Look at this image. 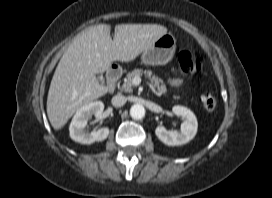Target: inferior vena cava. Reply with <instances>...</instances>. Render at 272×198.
Returning <instances> with one entry per match:
<instances>
[{
	"instance_id": "1",
	"label": "inferior vena cava",
	"mask_w": 272,
	"mask_h": 198,
	"mask_svg": "<svg viewBox=\"0 0 272 198\" xmlns=\"http://www.w3.org/2000/svg\"><path fill=\"white\" fill-rule=\"evenodd\" d=\"M127 101V98L123 96L122 94H117L113 96L111 103L114 107H121L123 106Z\"/></svg>"
}]
</instances>
